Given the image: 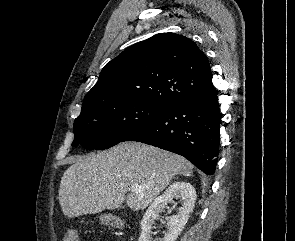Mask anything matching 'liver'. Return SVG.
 I'll return each mask as SVG.
<instances>
[{
    "instance_id": "obj_1",
    "label": "liver",
    "mask_w": 295,
    "mask_h": 241,
    "mask_svg": "<svg viewBox=\"0 0 295 241\" xmlns=\"http://www.w3.org/2000/svg\"><path fill=\"white\" fill-rule=\"evenodd\" d=\"M193 165L184 157L137 142H124L106 152L73 160L64 172L59 203L68 218L99 213L126 203L145 209L178 174L190 176ZM142 188L126 196L128 189Z\"/></svg>"
}]
</instances>
